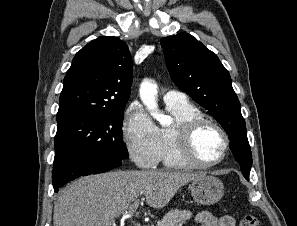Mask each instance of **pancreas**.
I'll list each match as a JSON object with an SVG mask.
<instances>
[{"mask_svg":"<svg viewBox=\"0 0 297 226\" xmlns=\"http://www.w3.org/2000/svg\"><path fill=\"white\" fill-rule=\"evenodd\" d=\"M191 217V211L175 209L169 211L156 226H182Z\"/></svg>","mask_w":297,"mask_h":226,"instance_id":"pancreas-1","label":"pancreas"}]
</instances>
